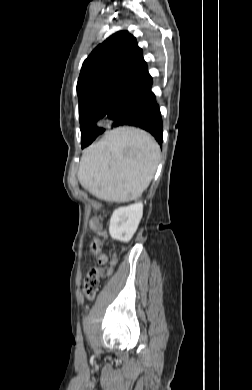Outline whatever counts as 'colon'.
<instances>
[{"label": "colon", "instance_id": "5ec220e1", "mask_svg": "<svg viewBox=\"0 0 252 390\" xmlns=\"http://www.w3.org/2000/svg\"><path fill=\"white\" fill-rule=\"evenodd\" d=\"M97 223V231L99 234V237L95 238L92 242L91 249L92 252L97 255L100 253L101 248L104 245V240L103 238L105 237L104 235V230H103V224L102 222L97 218L96 219ZM116 258L115 256L112 259V263H115ZM103 272L99 268H91L86 276L85 279V285H84V293L85 296L89 299H92L96 293L98 292L101 284V278H102Z\"/></svg>", "mask_w": 252, "mask_h": 390}]
</instances>
